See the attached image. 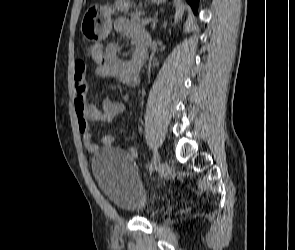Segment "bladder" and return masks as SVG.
<instances>
[{"label": "bladder", "instance_id": "31cf9c89", "mask_svg": "<svg viewBox=\"0 0 295 250\" xmlns=\"http://www.w3.org/2000/svg\"><path fill=\"white\" fill-rule=\"evenodd\" d=\"M94 179L105 196L128 213L145 214L153 206L136 175L134 161L124 150L106 147L91 159Z\"/></svg>", "mask_w": 295, "mask_h": 250}]
</instances>
